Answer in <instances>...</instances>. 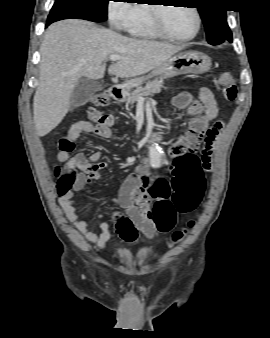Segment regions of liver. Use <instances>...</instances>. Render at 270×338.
I'll return each mask as SVG.
<instances>
[{
  "instance_id": "obj_1",
  "label": "liver",
  "mask_w": 270,
  "mask_h": 338,
  "mask_svg": "<svg viewBox=\"0 0 270 338\" xmlns=\"http://www.w3.org/2000/svg\"><path fill=\"white\" fill-rule=\"evenodd\" d=\"M183 48L128 38L83 20L69 19L50 25L40 47V82L33 99L37 135H47L63 120L80 78L104 77L103 63L110 55L122 59L112 64L108 73L132 78L155 69Z\"/></svg>"
}]
</instances>
